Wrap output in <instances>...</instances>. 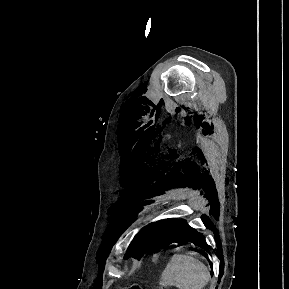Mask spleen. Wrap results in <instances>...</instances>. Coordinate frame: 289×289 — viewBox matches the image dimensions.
<instances>
[{
	"label": "spleen",
	"mask_w": 289,
	"mask_h": 289,
	"mask_svg": "<svg viewBox=\"0 0 289 289\" xmlns=\"http://www.w3.org/2000/svg\"><path fill=\"white\" fill-rule=\"evenodd\" d=\"M207 266L188 254H174L161 274L160 287L203 289L210 280Z\"/></svg>",
	"instance_id": "obj_1"
}]
</instances>
